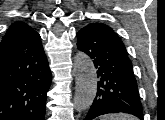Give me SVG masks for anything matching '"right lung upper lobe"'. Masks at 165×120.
Wrapping results in <instances>:
<instances>
[{
	"mask_svg": "<svg viewBox=\"0 0 165 120\" xmlns=\"http://www.w3.org/2000/svg\"><path fill=\"white\" fill-rule=\"evenodd\" d=\"M34 32L35 30H33L27 24L23 22H16L12 24L10 28L7 30V33L3 37L0 46L22 39Z\"/></svg>",
	"mask_w": 165,
	"mask_h": 120,
	"instance_id": "cb5924a9",
	"label": "right lung upper lobe"
}]
</instances>
